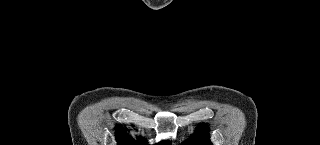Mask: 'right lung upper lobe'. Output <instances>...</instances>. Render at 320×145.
Wrapping results in <instances>:
<instances>
[{
	"instance_id": "cb5924a9",
	"label": "right lung upper lobe",
	"mask_w": 320,
	"mask_h": 145,
	"mask_svg": "<svg viewBox=\"0 0 320 145\" xmlns=\"http://www.w3.org/2000/svg\"><path fill=\"white\" fill-rule=\"evenodd\" d=\"M117 134H116V141L118 143V145H135L136 143L134 142V140L127 134V132L125 131V129L120 126L117 127ZM165 143H169L168 141L165 142H161L159 143L161 144H165ZM137 145H146L145 144V140L142 138H138L137 141Z\"/></svg>"
}]
</instances>
